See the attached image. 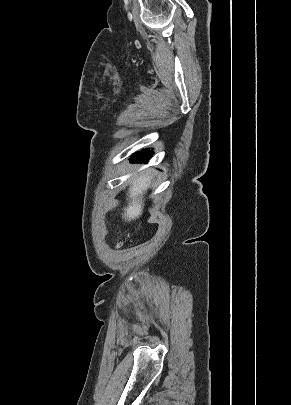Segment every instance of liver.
Here are the masks:
<instances>
[{"instance_id": "1", "label": "liver", "mask_w": 291, "mask_h": 405, "mask_svg": "<svg viewBox=\"0 0 291 405\" xmlns=\"http://www.w3.org/2000/svg\"><path fill=\"white\" fill-rule=\"evenodd\" d=\"M152 177L147 173L136 176L130 182L128 190L129 205L124 209L123 218L125 221L135 220L143 212V196L150 187Z\"/></svg>"}]
</instances>
